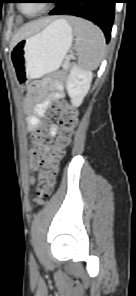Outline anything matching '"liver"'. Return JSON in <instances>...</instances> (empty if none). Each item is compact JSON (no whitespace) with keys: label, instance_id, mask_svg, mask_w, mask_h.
I'll use <instances>...</instances> for the list:
<instances>
[{"label":"liver","instance_id":"1","mask_svg":"<svg viewBox=\"0 0 136 296\" xmlns=\"http://www.w3.org/2000/svg\"><path fill=\"white\" fill-rule=\"evenodd\" d=\"M51 19L46 18V19H40L37 21H32L30 23L25 24L23 27H21L18 32L14 35L12 42H11V47H13L19 40L24 39L34 33H37L40 31L41 28L46 26Z\"/></svg>","mask_w":136,"mask_h":296}]
</instances>
